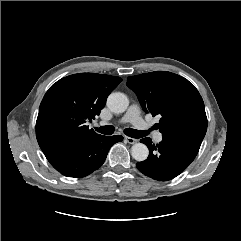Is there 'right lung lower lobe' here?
<instances>
[{
  "label": "right lung lower lobe",
  "instance_id": "obj_1",
  "mask_svg": "<svg viewBox=\"0 0 241 241\" xmlns=\"http://www.w3.org/2000/svg\"><path fill=\"white\" fill-rule=\"evenodd\" d=\"M123 137L96 135L53 146L43 153L50 164L67 177H84L105 161L111 146Z\"/></svg>",
  "mask_w": 241,
  "mask_h": 241
}]
</instances>
